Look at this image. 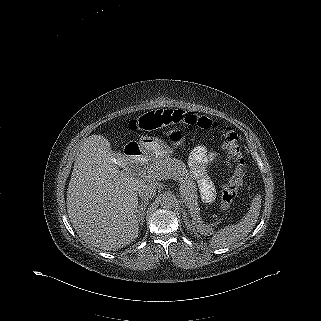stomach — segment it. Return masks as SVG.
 <instances>
[{"label":"stomach","instance_id":"0dacf381","mask_svg":"<svg viewBox=\"0 0 321 321\" xmlns=\"http://www.w3.org/2000/svg\"><path fill=\"white\" fill-rule=\"evenodd\" d=\"M169 136L174 146H181L183 144V140L180 139L177 132L170 131ZM136 144L142 152L152 157H165L172 151L170 146L156 137H142Z\"/></svg>","mask_w":321,"mask_h":321}]
</instances>
